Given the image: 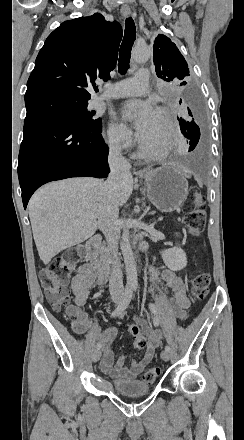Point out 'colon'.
Listing matches in <instances>:
<instances>
[{"instance_id": "1", "label": "colon", "mask_w": 244, "mask_h": 440, "mask_svg": "<svg viewBox=\"0 0 244 440\" xmlns=\"http://www.w3.org/2000/svg\"><path fill=\"white\" fill-rule=\"evenodd\" d=\"M185 223L192 235H199L204 231L207 214L205 203L199 192H195L189 203L184 208ZM82 248H64V258L52 261L47 268L40 274V282L48 301L54 306L55 310H60L65 306V313L73 322L74 329L78 332L85 326V311L81 305H67L70 300V290L68 283L70 273L76 268V263L83 256ZM210 275L205 272H197L192 280V295L196 301H203L208 294ZM129 335H133V347L136 350H145L147 339L140 335L138 325L132 324L129 327ZM158 366L146 368L142 373V380L146 383H153L159 376Z\"/></svg>"}]
</instances>
